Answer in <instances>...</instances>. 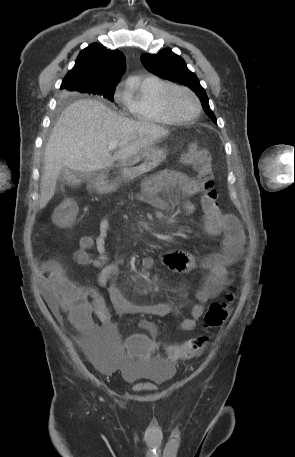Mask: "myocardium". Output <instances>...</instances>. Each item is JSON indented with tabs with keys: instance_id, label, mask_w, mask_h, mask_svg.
<instances>
[{
	"instance_id": "myocardium-1",
	"label": "myocardium",
	"mask_w": 295,
	"mask_h": 457,
	"mask_svg": "<svg viewBox=\"0 0 295 457\" xmlns=\"http://www.w3.org/2000/svg\"><path fill=\"white\" fill-rule=\"evenodd\" d=\"M175 90L185 91L193 98L195 105H196V110H195L194 115H192L190 117H180L173 112V110L170 106V103H169V97H170L171 93ZM160 103H161V106H162L164 112L171 119H173L175 122H178V123H185V122L193 121L200 115V112H201V103H200L198 96L190 88L181 86V85H177V84H169L161 91Z\"/></svg>"
}]
</instances>
